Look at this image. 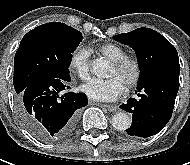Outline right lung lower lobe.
<instances>
[{
    "mask_svg": "<svg viewBox=\"0 0 190 165\" xmlns=\"http://www.w3.org/2000/svg\"><path fill=\"white\" fill-rule=\"evenodd\" d=\"M70 78H42L29 84L16 100L21 122L41 141L70 135L78 121L79 109L88 104L83 93L62 91Z\"/></svg>",
    "mask_w": 190,
    "mask_h": 165,
    "instance_id": "right-lung-lower-lobe-1",
    "label": "right lung lower lobe"
}]
</instances>
